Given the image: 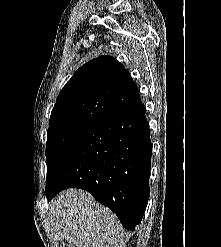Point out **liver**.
Masks as SVG:
<instances>
[{"mask_svg":"<svg viewBox=\"0 0 221 247\" xmlns=\"http://www.w3.org/2000/svg\"><path fill=\"white\" fill-rule=\"evenodd\" d=\"M48 209L56 227L75 247H126L129 235L117 217L83 190H64Z\"/></svg>","mask_w":221,"mask_h":247,"instance_id":"1","label":"liver"}]
</instances>
